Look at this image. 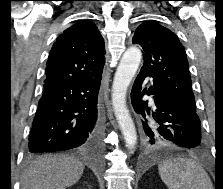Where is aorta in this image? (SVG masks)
I'll list each match as a JSON object with an SVG mask.
<instances>
[{
    "label": "aorta",
    "instance_id": "aorta-1",
    "mask_svg": "<svg viewBox=\"0 0 223 189\" xmlns=\"http://www.w3.org/2000/svg\"><path fill=\"white\" fill-rule=\"evenodd\" d=\"M142 52L137 47L128 48L117 67L112 85V106L127 148L132 152L137 143V132L126 106V92L135 76Z\"/></svg>",
    "mask_w": 223,
    "mask_h": 189
}]
</instances>
